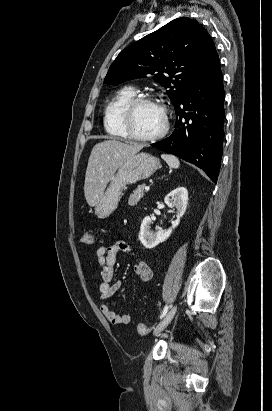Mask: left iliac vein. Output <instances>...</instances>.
Here are the masks:
<instances>
[{
  "label": "left iliac vein",
  "instance_id": "obj_1",
  "mask_svg": "<svg viewBox=\"0 0 272 411\" xmlns=\"http://www.w3.org/2000/svg\"><path fill=\"white\" fill-rule=\"evenodd\" d=\"M177 310V305H174L169 312L167 313V315L163 318V320L154 328L153 334L154 335H158L160 332H162L167 326L168 324L172 321L175 313Z\"/></svg>",
  "mask_w": 272,
  "mask_h": 411
}]
</instances>
